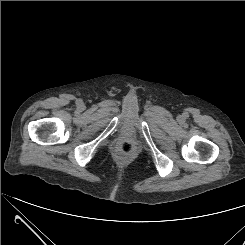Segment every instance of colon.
<instances>
[{
	"label": "colon",
	"instance_id": "obj_1",
	"mask_svg": "<svg viewBox=\"0 0 245 245\" xmlns=\"http://www.w3.org/2000/svg\"><path fill=\"white\" fill-rule=\"evenodd\" d=\"M122 149L125 153H129L132 150V147L128 142H124L122 144Z\"/></svg>",
	"mask_w": 245,
	"mask_h": 245
}]
</instances>
